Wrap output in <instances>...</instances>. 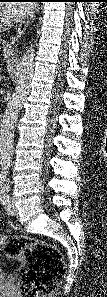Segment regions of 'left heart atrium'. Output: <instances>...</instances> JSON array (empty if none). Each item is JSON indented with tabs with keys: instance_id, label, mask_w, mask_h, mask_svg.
<instances>
[{
	"instance_id": "left-heart-atrium-1",
	"label": "left heart atrium",
	"mask_w": 107,
	"mask_h": 297,
	"mask_svg": "<svg viewBox=\"0 0 107 297\" xmlns=\"http://www.w3.org/2000/svg\"><path fill=\"white\" fill-rule=\"evenodd\" d=\"M29 11V4L27 3H10L7 4L3 13L8 19L18 20L26 15Z\"/></svg>"
}]
</instances>
